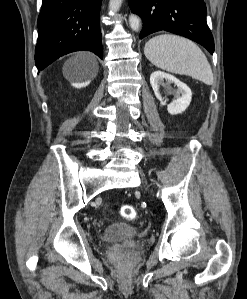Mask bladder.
<instances>
[{"instance_id":"obj_1","label":"bladder","mask_w":247,"mask_h":299,"mask_svg":"<svg viewBox=\"0 0 247 299\" xmlns=\"http://www.w3.org/2000/svg\"><path fill=\"white\" fill-rule=\"evenodd\" d=\"M141 231L125 223H113L105 228L103 238L106 241H116L129 237L141 236Z\"/></svg>"}]
</instances>
